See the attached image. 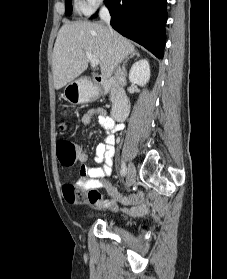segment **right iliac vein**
I'll list each match as a JSON object with an SVG mask.
<instances>
[{"instance_id":"1","label":"right iliac vein","mask_w":227,"mask_h":279,"mask_svg":"<svg viewBox=\"0 0 227 279\" xmlns=\"http://www.w3.org/2000/svg\"><path fill=\"white\" fill-rule=\"evenodd\" d=\"M135 176H136L135 167L132 163H129L128 169H127V178H126L127 187H130L133 184V182L135 180Z\"/></svg>"}]
</instances>
